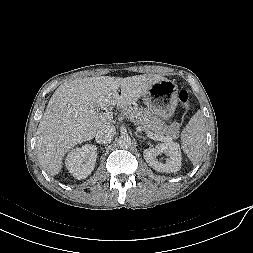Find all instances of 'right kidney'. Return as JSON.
I'll return each mask as SVG.
<instances>
[{"mask_svg": "<svg viewBox=\"0 0 253 253\" xmlns=\"http://www.w3.org/2000/svg\"><path fill=\"white\" fill-rule=\"evenodd\" d=\"M97 154V147L94 145L76 147L68 153L65 166L76 179H85L94 170Z\"/></svg>", "mask_w": 253, "mask_h": 253, "instance_id": "1", "label": "right kidney"}]
</instances>
